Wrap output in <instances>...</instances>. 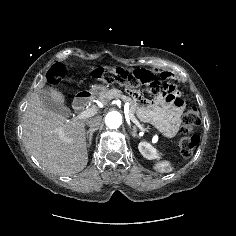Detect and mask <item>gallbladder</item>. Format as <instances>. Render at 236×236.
<instances>
[{
	"instance_id": "bac80fb5",
	"label": "gallbladder",
	"mask_w": 236,
	"mask_h": 236,
	"mask_svg": "<svg viewBox=\"0 0 236 236\" xmlns=\"http://www.w3.org/2000/svg\"><path fill=\"white\" fill-rule=\"evenodd\" d=\"M37 93L41 102L47 110L53 111L59 115H66L69 112L68 108L58 105L45 89H42Z\"/></svg>"
}]
</instances>
